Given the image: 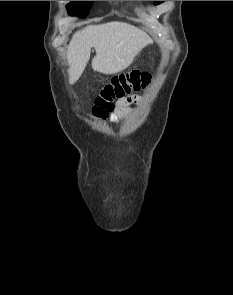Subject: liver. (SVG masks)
I'll list each match as a JSON object with an SVG mask.
<instances>
[{
	"mask_svg": "<svg viewBox=\"0 0 233 295\" xmlns=\"http://www.w3.org/2000/svg\"><path fill=\"white\" fill-rule=\"evenodd\" d=\"M150 43L152 39L145 32L125 22L89 25L76 32L68 46L69 83L74 84L82 75L91 48L96 51L93 70L110 75L128 68L134 57Z\"/></svg>",
	"mask_w": 233,
	"mask_h": 295,
	"instance_id": "liver-1",
	"label": "liver"
}]
</instances>
